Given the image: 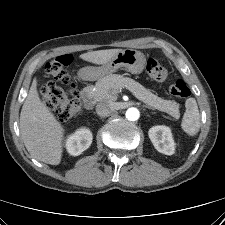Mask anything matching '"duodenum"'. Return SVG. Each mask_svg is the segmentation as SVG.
Returning a JSON list of instances; mask_svg holds the SVG:
<instances>
[{"instance_id": "410a0bca", "label": "duodenum", "mask_w": 225, "mask_h": 225, "mask_svg": "<svg viewBox=\"0 0 225 225\" xmlns=\"http://www.w3.org/2000/svg\"><path fill=\"white\" fill-rule=\"evenodd\" d=\"M80 100H81L82 106L86 109H90L94 104L93 97L87 92L82 93Z\"/></svg>"}]
</instances>
